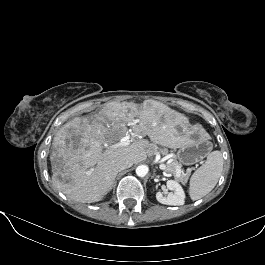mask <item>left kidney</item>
Instances as JSON below:
<instances>
[{"label": "left kidney", "mask_w": 265, "mask_h": 265, "mask_svg": "<svg viewBox=\"0 0 265 265\" xmlns=\"http://www.w3.org/2000/svg\"><path fill=\"white\" fill-rule=\"evenodd\" d=\"M167 188L171 192L165 196L161 192L156 193V199L158 202L165 204V205H171V206H180L185 203L184 190L177 181L168 180Z\"/></svg>", "instance_id": "5707ae66"}]
</instances>
